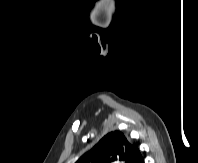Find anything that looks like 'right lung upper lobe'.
Returning <instances> with one entry per match:
<instances>
[{"mask_svg": "<svg viewBox=\"0 0 198 163\" xmlns=\"http://www.w3.org/2000/svg\"><path fill=\"white\" fill-rule=\"evenodd\" d=\"M75 163H144V160L122 132L112 131Z\"/></svg>", "mask_w": 198, "mask_h": 163, "instance_id": "1", "label": "right lung upper lobe"}]
</instances>
